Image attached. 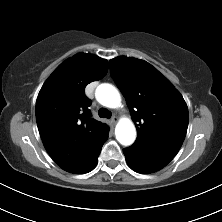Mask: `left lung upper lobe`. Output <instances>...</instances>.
I'll use <instances>...</instances> for the list:
<instances>
[{
	"label": "left lung upper lobe",
	"mask_w": 222,
	"mask_h": 222,
	"mask_svg": "<svg viewBox=\"0 0 222 222\" xmlns=\"http://www.w3.org/2000/svg\"><path fill=\"white\" fill-rule=\"evenodd\" d=\"M111 76L123 93L138 137L123 150L138 163L160 170L178 153L188 127V108L170 81L146 61L110 60Z\"/></svg>",
	"instance_id": "5c2ea615"
}]
</instances>
